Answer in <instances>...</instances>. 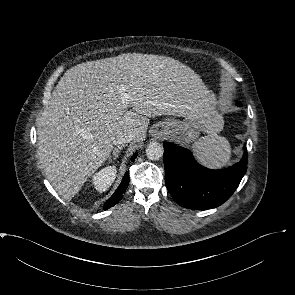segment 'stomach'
I'll return each instance as SVG.
<instances>
[{"label": "stomach", "instance_id": "1", "mask_svg": "<svg viewBox=\"0 0 295 295\" xmlns=\"http://www.w3.org/2000/svg\"><path fill=\"white\" fill-rule=\"evenodd\" d=\"M209 126H212L216 133L223 127L222 114L219 112L216 96L210 91L206 95V101L183 121L167 119L160 123L165 134L183 143H191Z\"/></svg>", "mask_w": 295, "mask_h": 295}]
</instances>
